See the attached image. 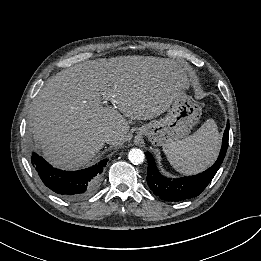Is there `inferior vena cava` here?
Here are the masks:
<instances>
[{"label":"inferior vena cava","instance_id":"602c4592","mask_svg":"<svg viewBox=\"0 0 261 261\" xmlns=\"http://www.w3.org/2000/svg\"><path fill=\"white\" fill-rule=\"evenodd\" d=\"M117 138V134L114 131L106 130L104 133V139L108 143Z\"/></svg>","mask_w":261,"mask_h":261}]
</instances>
